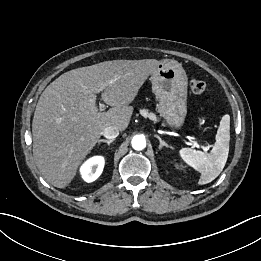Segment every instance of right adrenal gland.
Returning <instances> with one entry per match:
<instances>
[{"label": "right adrenal gland", "instance_id": "1", "mask_svg": "<svg viewBox=\"0 0 261 261\" xmlns=\"http://www.w3.org/2000/svg\"><path fill=\"white\" fill-rule=\"evenodd\" d=\"M114 141V139L112 140H105V139H100L98 141V145H100L101 143H107L108 146H110V144Z\"/></svg>", "mask_w": 261, "mask_h": 261}]
</instances>
